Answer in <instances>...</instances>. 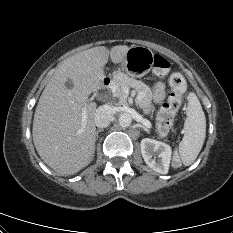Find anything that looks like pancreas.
I'll return each instance as SVG.
<instances>
[{
    "label": "pancreas",
    "mask_w": 233,
    "mask_h": 233,
    "mask_svg": "<svg viewBox=\"0 0 233 233\" xmlns=\"http://www.w3.org/2000/svg\"><path fill=\"white\" fill-rule=\"evenodd\" d=\"M129 88H134L139 96L138 104L141 107L149 104L152 100L151 89L144 82L128 77L126 74H117L114 78V85L112 88L113 96L119 100V105L127 104V95L125 91ZM163 135L164 132L160 130Z\"/></svg>",
    "instance_id": "1"
}]
</instances>
